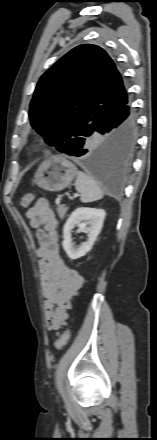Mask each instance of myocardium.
I'll return each instance as SVG.
<instances>
[{
  "instance_id": "obj_1",
  "label": "myocardium",
  "mask_w": 157,
  "mask_h": 440,
  "mask_svg": "<svg viewBox=\"0 0 157 440\" xmlns=\"http://www.w3.org/2000/svg\"><path fill=\"white\" fill-rule=\"evenodd\" d=\"M33 146H34L35 148H38V147H39V143H38L37 141H34V142H33Z\"/></svg>"
}]
</instances>
